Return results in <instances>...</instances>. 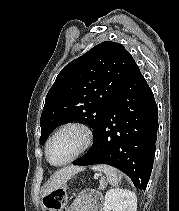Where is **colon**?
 I'll return each instance as SVG.
<instances>
[{
  "label": "colon",
  "instance_id": "colon-1",
  "mask_svg": "<svg viewBox=\"0 0 179 211\" xmlns=\"http://www.w3.org/2000/svg\"><path fill=\"white\" fill-rule=\"evenodd\" d=\"M67 195L64 190H55L44 198L46 211H60L66 204Z\"/></svg>",
  "mask_w": 179,
  "mask_h": 211
}]
</instances>
